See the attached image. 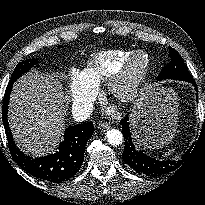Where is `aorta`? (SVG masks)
Returning a JSON list of instances; mask_svg holds the SVG:
<instances>
[{"label":"aorta","mask_w":205,"mask_h":205,"mask_svg":"<svg viewBox=\"0 0 205 205\" xmlns=\"http://www.w3.org/2000/svg\"><path fill=\"white\" fill-rule=\"evenodd\" d=\"M106 137L108 142L112 146H119L122 144L123 141V135L119 130L116 129H110L106 133Z\"/></svg>","instance_id":"obj_1"}]
</instances>
